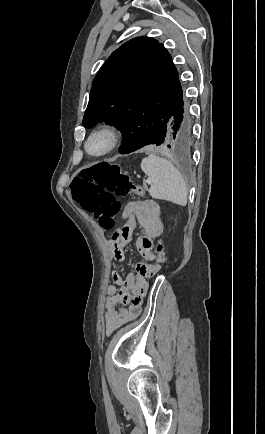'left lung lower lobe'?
<instances>
[{
  "label": "left lung lower lobe",
  "instance_id": "left-lung-lower-lobe-1",
  "mask_svg": "<svg viewBox=\"0 0 265 434\" xmlns=\"http://www.w3.org/2000/svg\"><path fill=\"white\" fill-rule=\"evenodd\" d=\"M192 144V127L184 113L182 93L175 105L164 113L160 125L142 129L123 138L119 152L127 154L150 146L156 152L187 154Z\"/></svg>",
  "mask_w": 265,
  "mask_h": 434
}]
</instances>
